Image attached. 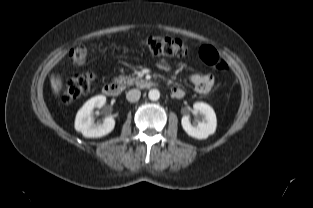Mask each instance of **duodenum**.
<instances>
[{"mask_svg": "<svg viewBox=\"0 0 313 208\" xmlns=\"http://www.w3.org/2000/svg\"><path fill=\"white\" fill-rule=\"evenodd\" d=\"M136 85L139 89H148L153 85V83L148 80L141 79ZM121 92L122 85L118 82H109L103 86V93L107 96L117 97L121 94Z\"/></svg>", "mask_w": 313, "mask_h": 208, "instance_id": "410a0bca", "label": "duodenum"}]
</instances>
